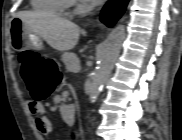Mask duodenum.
I'll return each instance as SVG.
<instances>
[{
	"mask_svg": "<svg viewBox=\"0 0 182 140\" xmlns=\"http://www.w3.org/2000/svg\"><path fill=\"white\" fill-rule=\"evenodd\" d=\"M60 111L66 120L73 122L76 117V107L74 105H63L60 107Z\"/></svg>",
	"mask_w": 182,
	"mask_h": 140,
	"instance_id": "duodenum-1",
	"label": "duodenum"
}]
</instances>
